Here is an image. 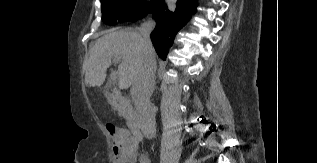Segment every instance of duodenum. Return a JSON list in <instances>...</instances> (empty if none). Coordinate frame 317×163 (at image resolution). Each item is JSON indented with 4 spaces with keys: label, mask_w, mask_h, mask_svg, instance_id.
Returning <instances> with one entry per match:
<instances>
[{
    "label": "duodenum",
    "mask_w": 317,
    "mask_h": 163,
    "mask_svg": "<svg viewBox=\"0 0 317 163\" xmlns=\"http://www.w3.org/2000/svg\"><path fill=\"white\" fill-rule=\"evenodd\" d=\"M111 104L126 118L130 125L133 136V142L137 146L139 139L142 137V129L138 118L133 113L131 105L127 98L119 92H109L108 94ZM120 146V142H117Z\"/></svg>",
    "instance_id": "1"
}]
</instances>
